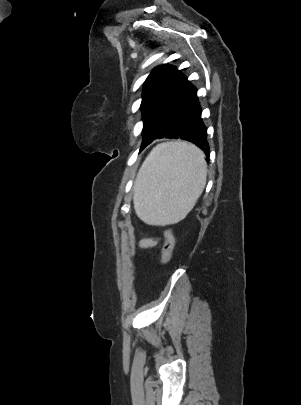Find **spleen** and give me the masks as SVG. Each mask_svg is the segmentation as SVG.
Listing matches in <instances>:
<instances>
[{"mask_svg":"<svg viewBox=\"0 0 301 405\" xmlns=\"http://www.w3.org/2000/svg\"><path fill=\"white\" fill-rule=\"evenodd\" d=\"M207 177L203 152L191 143L155 146L143 162L134 186L137 216L149 225L183 220L199 198Z\"/></svg>","mask_w":301,"mask_h":405,"instance_id":"1","label":"spleen"}]
</instances>
